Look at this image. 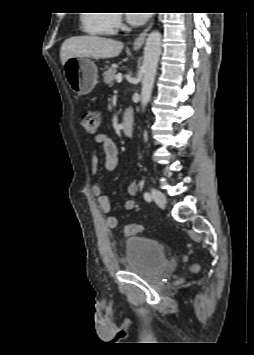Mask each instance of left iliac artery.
<instances>
[{
  "instance_id": "obj_1",
  "label": "left iliac artery",
  "mask_w": 254,
  "mask_h": 355,
  "mask_svg": "<svg viewBox=\"0 0 254 355\" xmlns=\"http://www.w3.org/2000/svg\"><path fill=\"white\" fill-rule=\"evenodd\" d=\"M144 199H145L146 201H148V202L151 201V195H150L149 192H145V193H144Z\"/></svg>"
}]
</instances>
